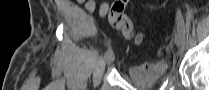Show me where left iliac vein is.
Here are the masks:
<instances>
[{
	"instance_id": "obj_1",
	"label": "left iliac vein",
	"mask_w": 209,
	"mask_h": 90,
	"mask_svg": "<svg viewBox=\"0 0 209 90\" xmlns=\"http://www.w3.org/2000/svg\"><path fill=\"white\" fill-rule=\"evenodd\" d=\"M177 33L179 32L178 30L176 31ZM175 43L176 45L178 46V48L183 51L184 49V39L180 36H176V39H175Z\"/></svg>"
}]
</instances>
